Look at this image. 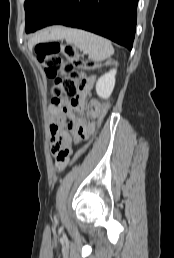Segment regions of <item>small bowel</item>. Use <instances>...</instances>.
<instances>
[{"mask_svg":"<svg viewBox=\"0 0 174 258\" xmlns=\"http://www.w3.org/2000/svg\"><path fill=\"white\" fill-rule=\"evenodd\" d=\"M94 77H84L78 98L69 101L66 98L53 99L49 105V130L52 151L54 153L53 162L58 169H62L69 161L72 152V143L79 144L89 138L94 131L95 118H85L84 122L74 117V112L83 111V103L86 94H93L90 89L94 83ZM100 100L98 96H93L87 104V117H98L100 113ZM55 147H60L56 149ZM63 151V153H59ZM57 175H62V170L56 171Z\"/></svg>","mask_w":174,"mask_h":258,"instance_id":"c3829d8e","label":"small bowel"}]
</instances>
